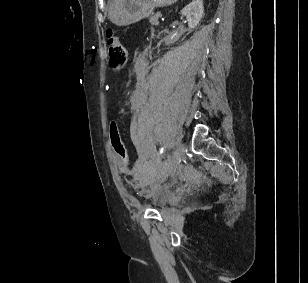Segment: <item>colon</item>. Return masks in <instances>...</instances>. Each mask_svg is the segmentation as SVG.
<instances>
[{
    "mask_svg": "<svg viewBox=\"0 0 308 283\" xmlns=\"http://www.w3.org/2000/svg\"><path fill=\"white\" fill-rule=\"evenodd\" d=\"M106 36L110 66L115 69L123 68L127 63V52L125 47L114 30L108 29ZM109 137L114 152L122 163L126 164L128 162L127 147L121 137L118 124L115 121H112L109 125Z\"/></svg>",
    "mask_w": 308,
    "mask_h": 283,
    "instance_id": "1",
    "label": "colon"
}]
</instances>
